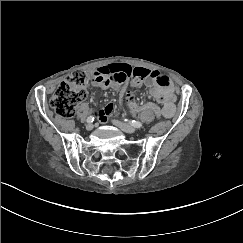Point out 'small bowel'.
<instances>
[{
  "instance_id": "small-bowel-1",
  "label": "small bowel",
  "mask_w": 243,
  "mask_h": 243,
  "mask_svg": "<svg viewBox=\"0 0 243 243\" xmlns=\"http://www.w3.org/2000/svg\"><path fill=\"white\" fill-rule=\"evenodd\" d=\"M142 74L144 81L151 87L150 94L161 104V114L170 118L175 113V93L170 79L159 71H151L145 68H132L125 63H115L95 69L89 73L91 83L101 88L118 87L130 76ZM114 105L108 103L104 108L95 112L100 121H104L108 115L113 113Z\"/></svg>"
}]
</instances>
